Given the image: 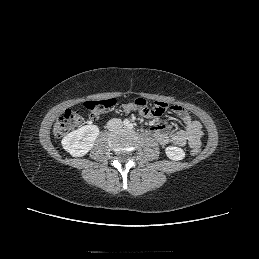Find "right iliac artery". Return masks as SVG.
Here are the masks:
<instances>
[{
  "instance_id": "82829eb1",
  "label": "right iliac artery",
  "mask_w": 259,
  "mask_h": 259,
  "mask_svg": "<svg viewBox=\"0 0 259 259\" xmlns=\"http://www.w3.org/2000/svg\"><path fill=\"white\" fill-rule=\"evenodd\" d=\"M124 125H128L129 124V121L126 119L123 121Z\"/></svg>"
}]
</instances>
